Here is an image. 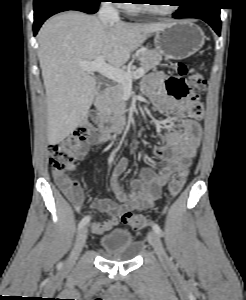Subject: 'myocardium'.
I'll list each match as a JSON object with an SVG mask.
<instances>
[{
  "instance_id": "1",
  "label": "myocardium",
  "mask_w": 246,
  "mask_h": 300,
  "mask_svg": "<svg viewBox=\"0 0 246 300\" xmlns=\"http://www.w3.org/2000/svg\"><path fill=\"white\" fill-rule=\"evenodd\" d=\"M139 9L145 13L155 15V16H172L178 10V5H176V4L172 5L171 9H169L168 11H156V10H153L150 7V5H147V3H145L143 5H139Z\"/></svg>"
}]
</instances>
